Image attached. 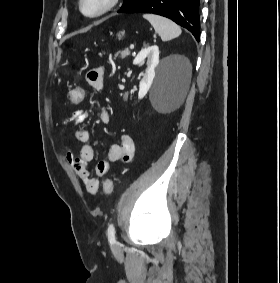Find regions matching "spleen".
<instances>
[{
	"mask_svg": "<svg viewBox=\"0 0 280 283\" xmlns=\"http://www.w3.org/2000/svg\"><path fill=\"white\" fill-rule=\"evenodd\" d=\"M143 17L150 22L162 41L172 40L181 34V28L168 18L154 14H144Z\"/></svg>",
	"mask_w": 280,
	"mask_h": 283,
	"instance_id": "3e777b00",
	"label": "spleen"
}]
</instances>
